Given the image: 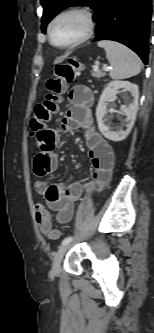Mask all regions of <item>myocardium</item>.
<instances>
[{"label":"myocardium","instance_id":"f54148a6","mask_svg":"<svg viewBox=\"0 0 154 333\" xmlns=\"http://www.w3.org/2000/svg\"><path fill=\"white\" fill-rule=\"evenodd\" d=\"M67 15H78L80 16L83 21H84V30L83 33L74 41L68 43V44H57L54 41L53 38V27L54 24L62 17L67 16ZM95 17L93 12L84 6H73V7H69L67 9H64L62 11H60L59 13H57L52 20L49 23L48 26V35H49V40L51 42V44L57 48L60 49H71L74 48L84 42H86L87 40H89L92 35L94 34L95 31Z\"/></svg>","mask_w":154,"mask_h":333}]
</instances>
